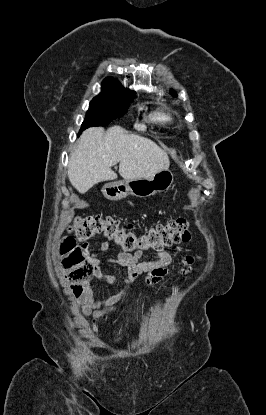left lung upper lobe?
<instances>
[{
    "mask_svg": "<svg viewBox=\"0 0 266 415\" xmlns=\"http://www.w3.org/2000/svg\"><path fill=\"white\" fill-rule=\"evenodd\" d=\"M172 95H174V96H175V95H176V93H175V92H172Z\"/></svg>",
    "mask_w": 266,
    "mask_h": 415,
    "instance_id": "obj_1",
    "label": "left lung upper lobe"
}]
</instances>
